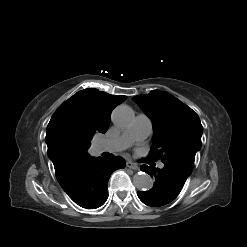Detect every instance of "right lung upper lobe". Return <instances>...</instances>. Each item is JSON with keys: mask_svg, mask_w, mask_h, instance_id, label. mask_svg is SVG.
Instances as JSON below:
<instances>
[{"mask_svg": "<svg viewBox=\"0 0 247 247\" xmlns=\"http://www.w3.org/2000/svg\"><path fill=\"white\" fill-rule=\"evenodd\" d=\"M125 99L89 88L74 94L55 111L45 138L55 171L92 158L87 152L91 138L107 131L113 108Z\"/></svg>", "mask_w": 247, "mask_h": 247, "instance_id": "obj_1", "label": "right lung upper lobe"}]
</instances>
